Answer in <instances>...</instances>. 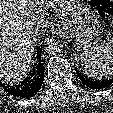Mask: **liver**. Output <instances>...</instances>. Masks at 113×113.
Wrapping results in <instances>:
<instances>
[{
  "label": "liver",
  "mask_w": 113,
  "mask_h": 113,
  "mask_svg": "<svg viewBox=\"0 0 113 113\" xmlns=\"http://www.w3.org/2000/svg\"><path fill=\"white\" fill-rule=\"evenodd\" d=\"M49 7L65 16L72 12V1L0 0V81L18 84L28 75L34 62L33 23L44 18Z\"/></svg>",
  "instance_id": "liver-1"
}]
</instances>
